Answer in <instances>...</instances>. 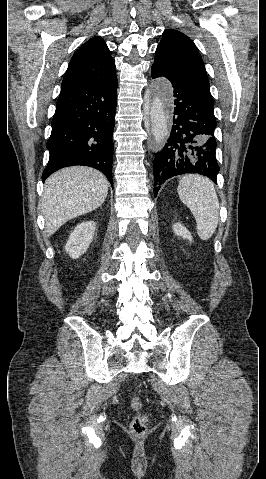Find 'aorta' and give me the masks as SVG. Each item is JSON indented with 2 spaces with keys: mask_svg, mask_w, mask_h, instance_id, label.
Masks as SVG:
<instances>
[{
  "mask_svg": "<svg viewBox=\"0 0 266 479\" xmlns=\"http://www.w3.org/2000/svg\"><path fill=\"white\" fill-rule=\"evenodd\" d=\"M149 116L152 124V133L155 140L160 143L168 135L169 112L166 110L165 99L159 90L151 100Z\"/></svg>",
  "mask_w": 266,
  "mask_h": 479,
  "instance_id": "obj_1",
  "label": "aorta"
}]
</instances>
